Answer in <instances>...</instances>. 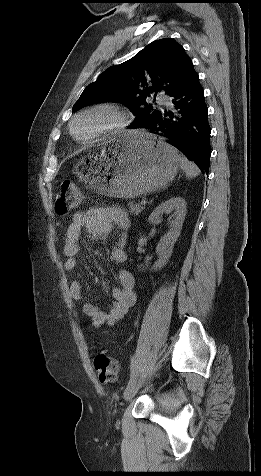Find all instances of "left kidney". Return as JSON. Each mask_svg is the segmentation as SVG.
<instances>
[{
  "label": "left kidney",
  "instance_id": "1",
  "mask_svg": "<svg viewBox=\"0 0 261 476\" xmlns=\"http://www.w3.org/2000/svg\"><path fill=\"white\" fill-rule=\"evenodd\" d=\"M186 205V201L182 197H172L162 202L149 216V221L152 224H159L161 222L162 214H170L174 211V219L170 222V229L160 239L156 247L158 260L153 266L154 270L164 267L172 255L174 244L180 235L185 220L187 211Z\"/></svg>",
  "mask_w": 261,
  "mask_h": 476
}]
</instances>
